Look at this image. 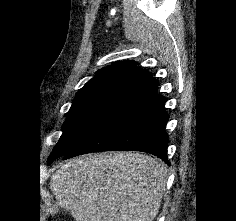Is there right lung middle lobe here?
<instances>
[{
	"label": "right lung middle lobe",
	"instance_id": "dd1d6c3e",
	"mask_svg": "<svg viewBox=\"0 0 236 221\" xmlns=\"http://www.w3.org/2000/svg\"><path fill=\"white\" fill-rule=\"evenodd\" d=\"M134 95L131 92H105L75 98L62 127L63 134L48 163L71 151Z\"/></svg>",
	"mask_w": 236,
	"mask_h": 221
}]
</instances>
